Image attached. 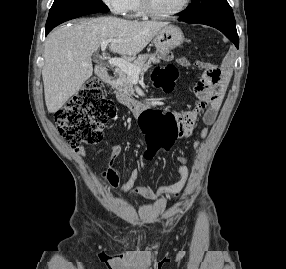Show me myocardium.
<instances>
[{
    "instance_id": "obj_1",
    "label": "myocardium",
    "mask_w": 286,
    "mask_h": 269,
    "mask_svg": "<svg viewBox=\"0 0 286 269\" xmlns=\"http://www.w3.org/2000/svg\"><path fill=\"white\" fill-rule=\"evenodd\" d=\"M190 0H183L182 4L174 11L168 13H157L153 10L149 0H139L141 11L144 15L152 19H169L182 13L188 6Z\"/></svg>"
}]
</instances>
